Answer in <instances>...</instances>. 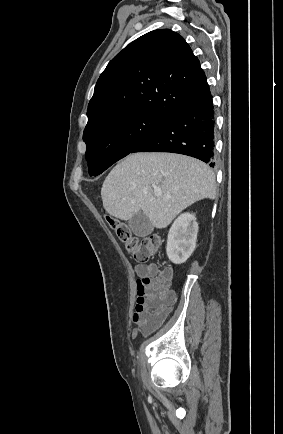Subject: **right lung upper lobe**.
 Segmentation results:
<instances>
[{"label":"right lung upper lobe","mask_w":283,"mask_h":434,"mask_svg":"<svg viewBox=\"0 0 283 434\" xmlns=\"http://www.w3.org/2000/svg\"><path fill=\"white\" fill-rule=\"evenodd\" d=\"M209 93L206 75L184 38L169 29L154 30L127 45L102 72L85 129L137 111L172 117Z\"/></svg>","instance_id":"right-lung-upper-lobe-1"}]
</instances>
